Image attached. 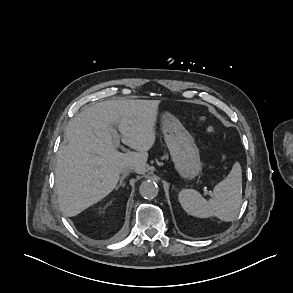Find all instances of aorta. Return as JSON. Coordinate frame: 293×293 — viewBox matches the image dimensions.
<instances>
[{
    "label": "aorta",
    "instance_id": "762f6f07",
    "mask_svg": "<svg viewBox=\"0 0 293 293\" xmlns=\"http://www.w3.org/2000/svg\"><path fill=\"white\" fill-rule=\"evenodd\" d=\"M139 192L145 199H153L158 194V186L154 181H143L139 187Z\"/></svg>",
    "mask_w": 293,
    "mask_h": 293
}]
</instances>
